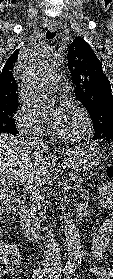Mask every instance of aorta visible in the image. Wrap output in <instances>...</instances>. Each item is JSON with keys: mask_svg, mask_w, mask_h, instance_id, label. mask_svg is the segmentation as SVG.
I'll return each instance as SVG.
<instances>
[{"mask_svg": "<svg viewBox=\"0 0 113 279\" xmlns=\"http://www.w3.org/2000/svg\"><path fill=\"white\" fill-rule=\"evenodd\" d=\"M62 60L63 59L60 54L52 53L44 57L43 65L45 66V69L50 71L60 66ZM47 106H48L47 97H43L42 99H39L38 107L40 111L42 112L45 111ZM64 234L66 238L67 255H68L66 267L68 269H74L81 265L83 251H82L80 234L74 222L69 218H66L64 220Z\"/></svg>", "mask_w": 113, "mask_h": 279, "instance_id": "obj_1", "label": "aorta"}]
</instances>
